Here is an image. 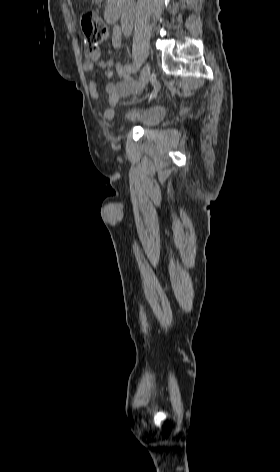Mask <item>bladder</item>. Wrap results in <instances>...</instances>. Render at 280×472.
<instances>
[{
	"instance_id": "1",
	"label": "bladder",
	"mask_w": 280,
	"mask_h": 472,
	"mask_svg": "<svg viewBox=\"0 0 280 472\" xmlns=\"http://www.w3.org/2000/svg\"><path fill=\"white\" fill-rule=\"evenodd\" d=\"M166 114V107L158 102L145 103L133 106L123 116V122L128 126L143 128L160 123Z\"/></svg>"
}]
</instances>
